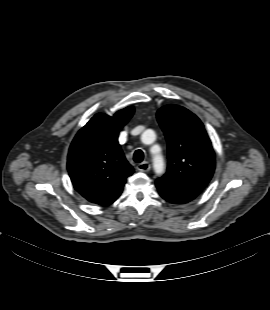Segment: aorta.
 Instances as JSON below:
<instances>
[{
    "label": "aorta",
    "instance_id": "762f6f07",
    "mask_svg": "<svg viewBox=\"0 0 270 310\" xmlns=\"http://www.w3.org/2000/svg\"><path fill=\"white\" fill-rule=\"evenodd\" d=\"M154 137H155V133L153 130H150V129L146 130L142 134V140L144 142L147 141L149 138H154ZM154 148L159 149L158 146H155ZM153 167H154V171L158 175H161L164 172V168H165L164 159L160 154H157L153 157Z\"/></svg>",
    "mask_w": 270,
    "mask_h": 310
}]
</instances>
